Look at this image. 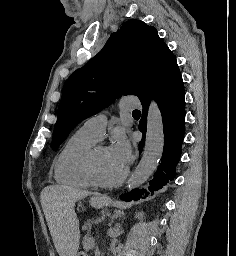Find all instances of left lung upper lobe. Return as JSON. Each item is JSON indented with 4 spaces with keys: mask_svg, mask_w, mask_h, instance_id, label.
<instances>
[{
    "mask_svg": "<svg viewBox=\"0 0 236 256\" xmlns=\"http://www.w3.org/2000/svg\"><path fill=\"white\" fill-rule=\"evenodd\" d=\"M178 69L176 58L154 27L131 19L112 33L103 49L65 82L54 126L57 150L72 129L122 95H149Z\"/></svg>",
    "mask_w": 236,
    "mask_h": 256,
    "instance_id": "obj_1",
    "label": "left lung upper lobe"
}]
</instances>
